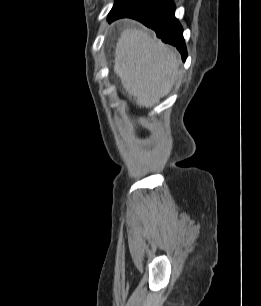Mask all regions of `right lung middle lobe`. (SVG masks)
I'll use <instances>...</instances> for the list:
<instances>
[{
    "label": "right lung middle lobe",
    "instance_id": "right-lung-middle-lobe-1",
    "mask_svg": "<svg viewBox=\"0 0 261 306\" xmlns=\"http://www.w3.org/2000/svg\"><path fill=\"white\" fill-rule=\"evenodd\" d=\"M129 2H131V0H116L111 12L117 11L118 9L124 7Z\"/></svg>",
    "mask_w": 261,
    "mask_h": 306
}]
</instances>
